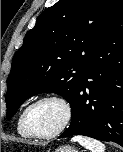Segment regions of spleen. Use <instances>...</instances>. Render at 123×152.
<instances>
[{"instance_id": "1", "label": "spleen", "mask_w": 123, "mask_h": 152, "mask_svg": "<svg viewBox=\"0 0 123 152\" xmlns=\"http://www.w3.org/2000/svg\"><path fill=\"white\" fill-rule=\"evenodd\" d=\"M72 141L78 142L90 152H105V145L96 139H92L82 135H76L72 138Z\"/></svg>"}]
</instances>
